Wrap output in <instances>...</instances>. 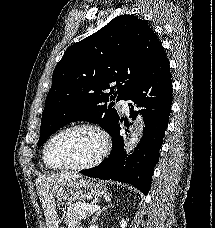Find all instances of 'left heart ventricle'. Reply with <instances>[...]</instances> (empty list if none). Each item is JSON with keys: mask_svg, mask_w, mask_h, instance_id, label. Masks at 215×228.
I'll list each match as a JSON object with an SVG mask.
<instances>
[{"mask_svg": "<svg viewBox=\"0 0 215 228\" xmlns=\"http://www.w3.org/2000/svg\"><path fill=\"white\" fill-rule=\"evenodd\" d=\"M102 146L98 134L88 129H73L59 135L50 145L48 161L53 166H69L93 159Z\"/></svg>", "mask_w": 215, "mask_h": 228, "instance_id": "b2bd125f", "label": "left heart ventricle"}]
</instances>
